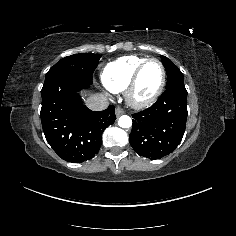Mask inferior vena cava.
<instances>
[{
	"label": "inferior vena cava",
	"instance_id": "1",
	"mask_svg": "<svg viewBox=\"0 0 236 236\" xmlns=\"http://www.w3.org/2000/svg\"><path fill=\"white\" fill-rule=\"evenodd\" d=\"M86 106L93 111H101L109 106V101L103 94H94L86 100Z\"/></svg>",
	"mask_w": 236,
	"mask_h": 236
}]
</instances>
